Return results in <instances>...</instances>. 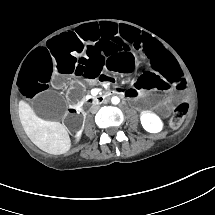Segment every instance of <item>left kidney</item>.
<instances>
[{
    "label": "left kidney",
    "instance_id": "left-kidney-1",
    "mask_svg": "<svg viewBox=\"0 0 215 215\" xmlns=\"http://www.w3.org/2000/svg\"><path fill=\"white\" fill-rule=\"evenodd\" d=\"M143 128L150 133H158L163 128L161 119L153 113L143 112L140 117Z\"/></svg>",
    "mask_w": 215,
    "mask_h": 215
}]
</instances>
